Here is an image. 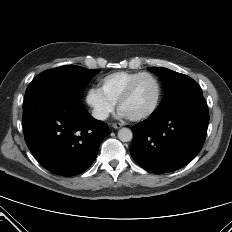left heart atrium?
<instances>
[{
    "mask_svg": "<svg viewBox=\"0 0 232 232\" xmlns=\"http://www.w3.org/2000/svg\"><path fill=\"white\" fill-rule=\"evenodd\" d=\"M119 116L120 117H128L123 111L120 110L119 112Z\"/></svg>",
    "mask_w": 232,
    "mask_h": 232,
    "instance_id": "obj_1",
    "label": "left heart atrium"
}]
</instances>
